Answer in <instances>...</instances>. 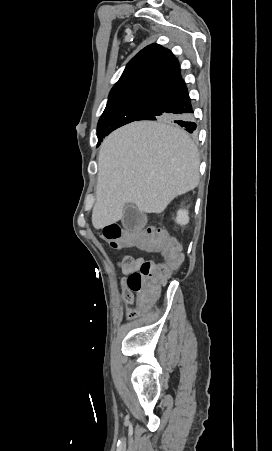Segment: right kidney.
I'll return each mask as SVG.
<instances>
[{"mask_svg":"<svg viewBox=\"0 0 272 451\" xmlns=\"http://www.w3.org/2000/svg\"><path fill=\"white\" fill-rule=\"evenodd\" d=\"M175 222H177V224H180V226H185V224H188V210H178Z\"/></svg>","mask_w":272,"mask_h":451,"instance_id":"right-kidney-1","label":"right kidney"}]
</instances>
